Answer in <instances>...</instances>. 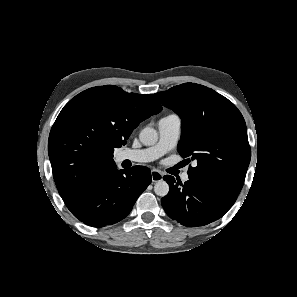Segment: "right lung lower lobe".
<instances>
[{
	"label": "right lung lower lobe",
	"instance_id": "right-lung-lower-lobe-1",
	"mask_svg": "<svg viewBox=\"0 0 297 297\" xmlns=\"http://www.w3.org/2000/svg\"><path fill=\"white\" fill-rule=\"evenodd\" d=\"M151 183V172L145 166L117 169L95 181L68 209L83 223L92 227L112 225L125 218L140 194Z\"/></svg>",
	"mask_w": 297,
	"mask_h": 297
}]
</instances>
